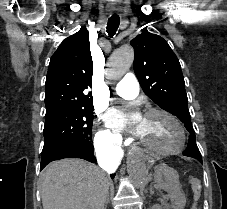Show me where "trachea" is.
I'll use <instances>...</instances> for the list:
<instances>
[{
  "mask_svg": "<svg viewBox=\"0 0 227 209\" xmlns=\"http://www.w3.org/2000/svg\"><path fill=\"white\" fill-rule=\"evenodd\" d=\"M120 25V17L114 13L107 22V33L109 36H114Z\"/></svg>",
  "mask_w": 227,
  "mask_h": 209,
  "instance_id": "trachea-1",
  "label": "trachea"
}]
</instances>
